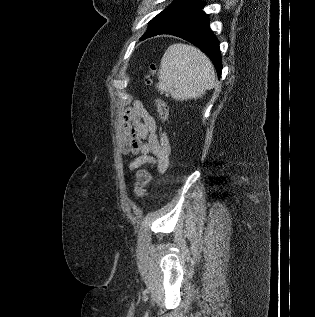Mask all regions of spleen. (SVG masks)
I'll return each instance as SVG.
<instances>
[{
    "label": "spleen",
    "mask_w": 315,
    "mask_h": 317,
    "mask_svg": "<svg viewBox=\"0 0 315 317\" xmlns=\"http://www.w3.org/2000/svg\"><path fill=\"white\" fill-rule=\"evenodd\" d=\"M158 89L176 100L198 99L215 86L210 59L194 46L176 43L164 53L159 69Z\"/></svg>",
    "instance_id": "obj_1"
}]
</instances>
